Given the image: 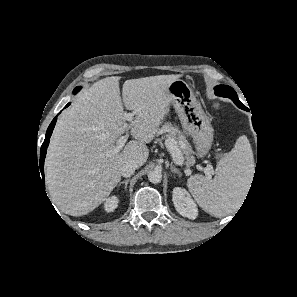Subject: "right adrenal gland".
<instances>
[{"instance_id": "obj_1", "label": "right adrenal gland", "mask_w": 297, "mask_h": 297, "mask_svg": "<svg viewBox=\"0 0 297 297\" xmlns=\"http://www.w3.org/2000/svg\"><path fill=\"white\" fill-rule=\"evenodd\" d=\"M129 178L128 179H126V180H124V181H120L119 183H118V186H120L121 184H124V188H125V190H127V185H128V182H129Z\"/></svg>"}]
</instances>
